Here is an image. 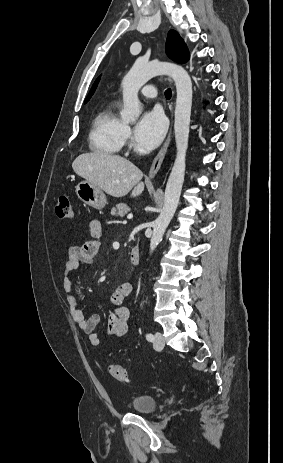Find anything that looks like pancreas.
<instances>
[{
    "label": "pancreas",
    "instance_id": "cf45deb5",
    "mask_svg": "<svg viewBox=\"0 0 283 463\" xmlns=\"http://www.w3.org/2000/svg\"><path fill=\"white\" fill-rule=\"evenodd\" d=\"M130 211V207L126 204L119 203L116 205V207H113L111 209V214L114 216H120L123 217Z\"/></svg>",
    "mask_w": 283,
    "mask_h": 463
}]
</instances>
